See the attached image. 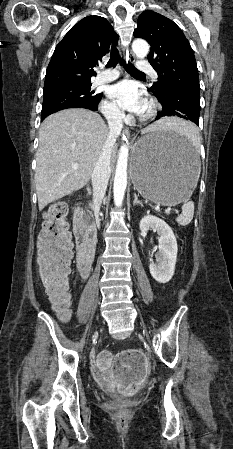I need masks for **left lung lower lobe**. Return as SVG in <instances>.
Here are the masks:
<instances>
[{
    "instance_id": "obj_1",
    "label": "left lung lower lobe",
    "mask_w": 233,
    "mask_h": 449,
    "mask_svg": "<svg viewBox=\"0 0 233 449\" xmlns=\"http://www.w3.org/2000/svg\"><path fill=\"white\" fill-rule=\"evenodd\" d=\"M151 92L162 104V111L158 112L156 120L165 116H178L190 120L199 126L200 102L176 91L163 89Z\"/></svg>"
}]
</instances>
